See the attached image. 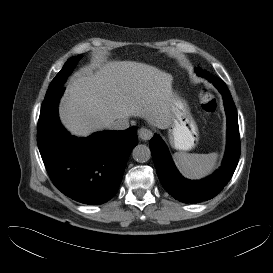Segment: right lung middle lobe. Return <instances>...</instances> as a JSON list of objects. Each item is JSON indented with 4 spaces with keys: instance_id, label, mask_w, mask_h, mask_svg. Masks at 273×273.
Returning a JSON list of instances; mask_svg holds the SVG:
<instances>
[{
    "instance_id": "dd1d6c3e",
    "label": "right lung middle lobe",
    "mask_w": 273,
    "mask_h": 273,
    "mask_svg": "<svg viewBox=\"0 0 273 273\" xmlns=\"http://www.w3.org/2000/svg\"><path fill=\"white\" fill-rule=\"evenodd\" d=\"M81 58V56L71 57L67 60L65 65L63 66L62 70L55 76L52 80L51 84L49 85L48 91L45 95V99L51 97L55 91L59 90L63 87L64 83L67 80V77L72 73L74 70L77 61Z\"/></svg>"
}]
</instances>
